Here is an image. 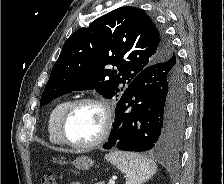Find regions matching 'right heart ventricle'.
<instances>
[{
  "label": "right heart ventricle",
  "instance_id": "1",
  "mask_svg": "<svg viewBox=\"0 0 224 184\" xmlns=\"http://www.w3.org/2000/svg\"><path fill=\"white\" fill-rule=\"evenodd\" d=\"M71 101L65 99L57 103L51 110L48 118V136L51 143L60 145L62 140L59 134L60 118Z\"/></svg>",
  "mask_w": 224,
  "mask_h": 184
}]
</instances>
